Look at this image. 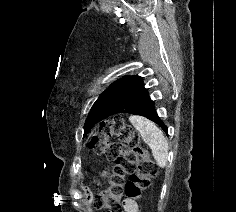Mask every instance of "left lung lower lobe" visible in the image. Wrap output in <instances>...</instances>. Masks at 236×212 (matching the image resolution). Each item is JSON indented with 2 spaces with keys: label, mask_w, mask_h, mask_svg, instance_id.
I'll return each mask as SVG.
<instances>
[{
  "label": "left lung lower lobe",
  "mask_w": 236,
  "mask_h": 212,
  "mask_svg": "<svg viewBox=\"0 0 236 212\" xmlns=\"http://www.w3.org/2000/svg\"><path fill=\"white\" fill-rule=\"evenodd\" d=\"M118 113L144 116L157 123L168 134L167 126L159 119L154 101L144 87L143 78L138 75L126 80L120 92L100 115L99 121Z\"/></svg>",
  "instance_id": "0a47b994"
}]
</instances>
